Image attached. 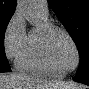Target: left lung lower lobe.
<instances>
[{
    "instance_id": "1",
    "label": "left lung lower lobe",
    "mask_w": 89,
    "mask_h": 89,
    "mask_svg": "<svg viewBox=\"0 0 89 89\" xmlns=\"http://www.w3.org/2000/svg\"><path fill=\"white\" fill-rule=\"evenodd\" d=\"M73 80L89 85V72L86 70H81L78 73H76V76L73 78Z\"/></svg>"
}]
</instances>
